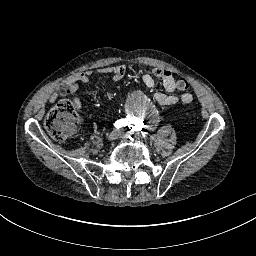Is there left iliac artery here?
Instances as JSON below:
<instances>
[{"label":"left iliac artery","instance_id":"1","mask_svg":"<svg viewBox=\"0 0 256 256\" xmlns=\"http://www.w3.org/2000/svg\"><path fill=\"white\" fill-rule=\"evenodd\" d=\"M132 123V120L131 119H129V122H128V124L130 125Z\"/></svg>","mask_w":256,"mask_h":256}]
</instances>
